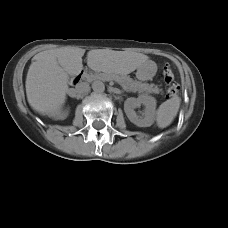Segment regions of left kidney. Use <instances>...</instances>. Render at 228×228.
Here are the masks:
<instances>
[{
    "label": "left kidney",
    "mask_w": 228,
    "mask_h": 228,
    "mask_svg": "<svg viewBox=\"0 0 228 228\" xmlns=\"http://www.w3.org/2000/svg\"><path fill=\"white\" fill-rule=\"evenodd\" d=\"M144 105L143 117L136 114L134 109ZM156 100L152 96L141 95L138 98H128L124 102V111L128 119L139 127H149L154 123Z\"/></svg>",
    "instance_id": "1"
}]
</instances>
